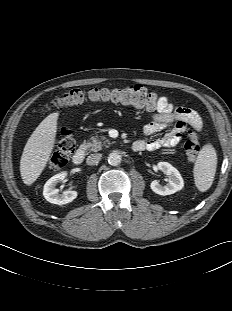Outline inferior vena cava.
Segmentation results:
<instances>
[{
	"instance_id": "obj_1",
	"label": "inferior vena cava",
	"mask_w": 232,
	"mask_h": 311,
	"mask_svg": "<svg viewBox=\"0 0 232 311\" xmlns=\"http://www.w3.org/2000/svg\"><path fill=\"white\" fill-rule=\"evenodd\" d=\"M102 155L99 153H94L88 156L86 162L88 165H97L101 160Z\"/></svg>"
}]
</instances>
